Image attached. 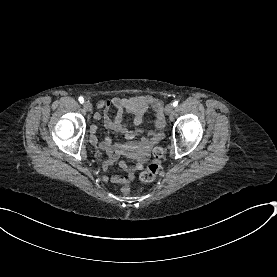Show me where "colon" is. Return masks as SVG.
<instances>
[{"label":"colon","instance_id":"5ec220e1","mask_svg":"<svg viewBox=\"0 0 277 277\" xmlns=\"http://www.w3.org/2000/svg\"><path fill=\"white\" fill-rule=\"evenodd\" d=\"M163 151L160 148H157L154 152V160L148 165L147 169L143 171L140 175L142 182L148 183L152 182L158 175L161 168V159ZM121 191H127L126 187H121Z\"/></svg>","mask_w":277,"mask_h":277}]
</instances>
